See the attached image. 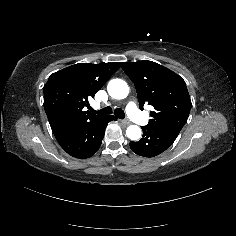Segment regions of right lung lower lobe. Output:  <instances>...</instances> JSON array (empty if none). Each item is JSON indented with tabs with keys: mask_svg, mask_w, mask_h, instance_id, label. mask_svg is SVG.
<instances>
[{
	"mask_svg": "<svg viewBox=\"0 0 236 236\" xmlns=\"http://www.w3.org/2000/svg\"><path fill=\"white\" fill-rule=\"evenodd\" d=\"M114 116H101L54 134L59 145L72 157L86 159L100 148L107 123Z\"/></svg>",
	"mask_w": 236,
	"mask_h": 236,
	"instance_id": "right-lung-lower-lobe-1",
	"label": "right lung lower lobe"
}]
</instances>
